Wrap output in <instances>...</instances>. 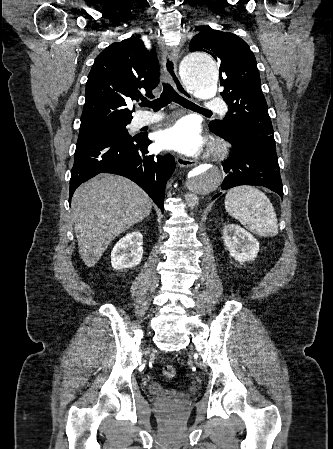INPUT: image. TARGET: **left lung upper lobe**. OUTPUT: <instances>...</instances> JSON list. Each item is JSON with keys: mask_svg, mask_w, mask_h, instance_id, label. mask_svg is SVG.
<instances>
[{"mask_svg": "<svg viewBox=\"0 0 333 449\" xmlns=\"http://www.w3.org/2000/svg\"><path fill=\"white\" fill-rule=\"evenodd\" d=\"M189 50L207 52L221 66V96L228 113L223 121L209 124L211 131L231 139L252 138L276 150L256 59L248 44L233 33L206 27L192 38Z\"/></svg>", "mask_w": 333, "mask_h": 449, "instance_id": "obj_1", "label": "left lung upper lobe"}]
</instances>
